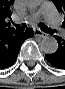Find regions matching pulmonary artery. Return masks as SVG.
<instances>
[{
	"mask_svg": "<svg viewBox=\"0 0 65 89\" xmlns=\"http://www.w3.org/2000/svg\"><path fill=\"white\" fill-rule=\"evenodd\" d=\"M40 18H44L48 25L55 30L60 27V21L56 9L51 2H44L38 11L25 18V20L27 22H36Z\"/></svg>",
	"mask_w": 65,
	"mask_h": 89,
	"instance_id": "e3ab8cb5",
	"label": "pulmonary artery"
}]
</instances>
